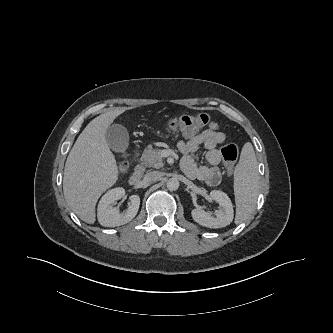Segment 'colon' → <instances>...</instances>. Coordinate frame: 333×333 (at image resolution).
Returning <instances> with one entry per match:
<instances>
[{"label": "colon", "mask_w": 333, "mask_h": 333, "mask_svg": "<svg viewBox=\"0 0 333 333\" xmlns=\"http://www.w3.org/2000/svg\"><path fill=\"white\" fill-rule=\"evenodd\" d=\"M209 122V117L206 114L198 115H183L171 119L167 127L172 132H179L186 136H191L200 129L204 128ZM221 156L228 171H232L238 159V148L235 144H227L221 149ZM119 169L122 173H126L129 169V164L126 160H121Z\"/></svg>", "instance_id": "colon-1"}]
</instances>
